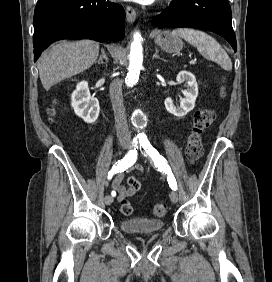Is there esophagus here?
<instances>
[{
    "mask_svg": "<svg viewBox=\"0 0 272 282\" xmlns=\"http://www.w3.org/2000/svg\"><path fill=\"white\" fill-rule=\"evenodd\" d=\"M126 19L129 23L136 19V11L131 6H126Z\"/></svg>",
    "mask_w": 272,
    "mask_h": 282,
    "instance_id": "esophagus-1",
    "label": "esophagus"
}]
</instances>
